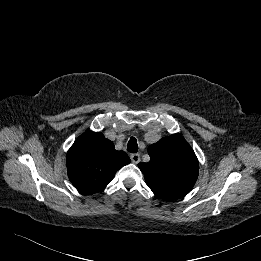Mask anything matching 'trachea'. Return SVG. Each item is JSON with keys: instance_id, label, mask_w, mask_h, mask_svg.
<instances>
[{"instance_id": "1", "label": "trachea", "mask_w": 261, "mask_h": 261, "mask_svg": "<svg viewBox=\"0 0 261 261\" xmlns=\"http://www.w3.org/2000/svg\"><path fill=\"white\" fill-rule=\"evenodd\" d=\"M127 151L130 153H137L138 144H137L136 138H134V137L130 138V140L128 141V145H127Z\"/></svg>"}]
</instances>
